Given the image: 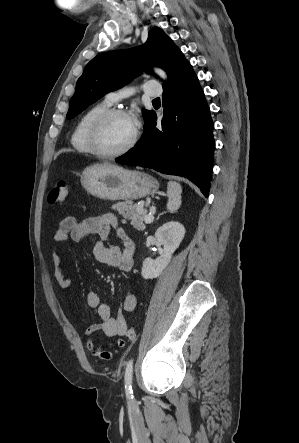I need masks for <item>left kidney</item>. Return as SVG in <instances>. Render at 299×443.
<instances>
[{
    "label": "left kidney",
    "mask_w": 299,
    "mask_h": 443,
    "mask_svg": "<svg viewBox=\"0 0 299 443\" xmlns=\"http://www.w3.org/2000/svg\"><path fill=\"white\" fill-rule=\"evenodd\" d=\"M185 235V228L179 222H168L157 229L155 237L163 245V252L153 260L143 261L141 275L144 279L157 278L169 264L172 254L179 247Z\"/></svg>",
    "instance_id": "left-kidney-1"
}]
</instances>
